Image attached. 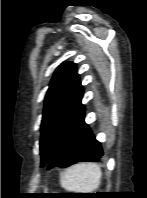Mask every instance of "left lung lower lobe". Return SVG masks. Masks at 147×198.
Instances as JSON below:
<instances>
[{
    "mask_svg": "<svg viewBox=\"0 0 147 198\" xmlns=\"http://www.w3.org/2000/svg\"><path fill=\"white\" fill-rule=\"evenodd\" d=\"M103 155L101 143L84 122V111L63 135L47 162L48 169L68 167L77 162H98Z\"/></svg>",
    "mask_w": 147,
    "mask_h": 198,
    "instance_id": "left-lung-lower-lobe-1",
    "label": "left lung lower lobe"
}]
</instances>
